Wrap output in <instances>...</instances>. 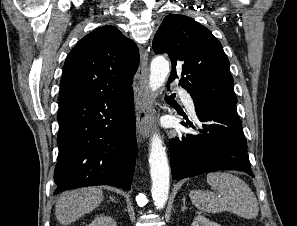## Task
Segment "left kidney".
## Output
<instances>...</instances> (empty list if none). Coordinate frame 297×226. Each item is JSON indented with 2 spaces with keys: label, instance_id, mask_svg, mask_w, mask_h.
I'll return each instance as SVG.
<instances>
[{
  "label": "left kidney",
  "instance_id": "obj_1",
  "mask_svg": "<svg viewBox=\"0 0 297 226\" xmlns=\"http://www.w3.org/2000/svg\"><path fill=\"white\" fill-rule=\"evenodd\" d=\"M191 226H221V225L213 221H210L209 219H207L202 215H198L195 217Z\"/></svg>",
  "mask_w": 297,
  "mask_h": 226
}]
</instances>
